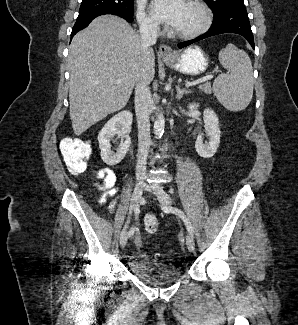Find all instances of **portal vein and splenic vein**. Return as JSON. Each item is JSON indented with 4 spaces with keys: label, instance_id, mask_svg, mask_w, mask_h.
Segmentation results:
<instances>
[{
    "label": "portal vein and splenic vein",
    "instance_id": "1",
    "mask_svg": "<svg viewBox=\"0 0 298 325\" xmlns=\"http://www.w3.org/2000/svg\"><path fill=\"white\" fill-rule=\"evenodd\" d=\"M210 78H213V74H208V76H203V78H198V80H192V82H186L185 86H193V84H199V82L210 80ZM116 82H122V78H117Z\"/></svg>",
    "mask_w": 298,
    "mask_h": 325
}]
</instances>
